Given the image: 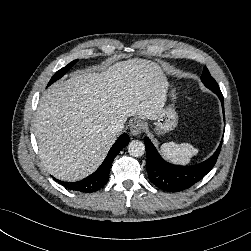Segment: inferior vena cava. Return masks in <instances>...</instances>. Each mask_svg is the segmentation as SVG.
I'll list each match as a JSON object with an SVG mask.
<instances>
[{"label": "inferior vena cava", "instance_id": "602c4592", "mask_svg": "<svg viewBox=\"0 0 251 251\" xmlns=\"http://www.w3.org/2000/svg\"><path fill=\"white\" fill-rule=\"evenodd\" d=\"M124 128V124L119 121H114L108 128V131L114 135L119 134Z\"/></svg>", "mask_w": 251, "mask_h": 251}]
</instances>
